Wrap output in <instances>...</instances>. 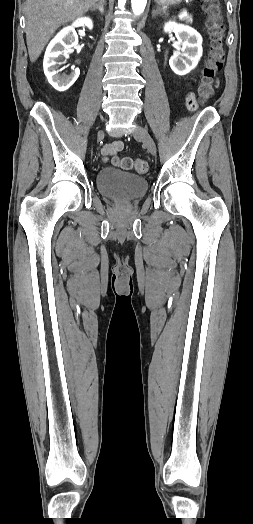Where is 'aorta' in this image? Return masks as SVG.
Instances as JSON below:
<instances>
[{"instance_id":"obj_1","label":"aorta","mask_w":253,"mask_h":524,"mask_svg":"<svg viewBox=\"0 0 253 524\" xmlns=\"http://www.w3.org/2000/svg\"><path fill=\"white\" fill-rule=\"evenodd\" d=\"M147 0H131L132 11L135 15H140L144 12Z\"/></svg>"}]
</instances>
